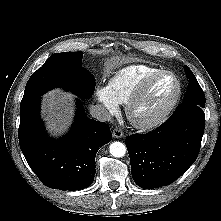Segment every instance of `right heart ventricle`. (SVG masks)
I'll use <instances>...</instances> for the list:
<instances>
[{
  "label": "right heart ventricle",
  "instance_id": "obj_1",
  "mask_svg": "<svg viewBox=\"0 0 221 221\" xmlns=\"http://www.w3.org/2000/svg\"><path fill=\"white\" fill-rule=\"evenodd\" d=\"M160 70L146 64L129 65L117 71L110 78L107 87L118 104L126 105L139 84Z\"/></svg>",
  "mask_w": 221,
  "mask_h": 221
}]
</instances>
